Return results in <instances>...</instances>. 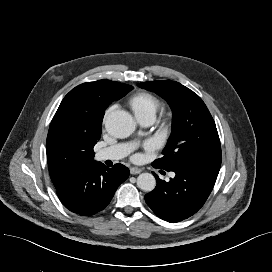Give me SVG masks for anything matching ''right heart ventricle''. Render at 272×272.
Returning a JSON list of instances; mask_svg holds the SVG:
<instances>
[{
  "label": "right heart ventricle",
  "instance_id": "e07e8e85",
  "mask_svg": "<svg viewBox=\"0 0 272 272\" xmlns=\"http://www.w3.org/2000/svg\"><path fill=\"white\" fill-rule=\"evenodd\" d=\"M129 106L139 121L154 120L160 109L161 101L150 92H139L129 100Z\"/></svg>",
  "mask_w": 272,
  "mask_h": 272
}]
</instances>
